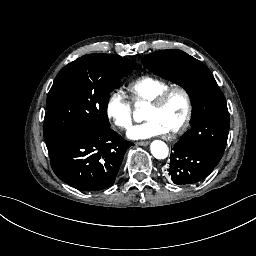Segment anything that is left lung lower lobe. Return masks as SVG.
<instances>
[{
	"label": "left lung lower lobe",
	"mask_w": 256,
	"mask_h": 256,
	"mask_svg": "<svg viewBox=\"0 0 256 256\" xmlns=\"http://www.w3.org/2000/svg\"><path fill=\"white\" fill-rule=\"evenodd\" d=\"M170 169V168H169ZM175 184H190L203 180L208 175H179L169 172Z\"/></svg>",
	"instance_id": "1"
}]
</instances>
